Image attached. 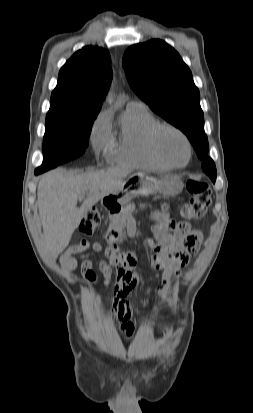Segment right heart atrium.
Segmentation results:
<instances>
[{
    "instance_id": "d8ad5b80",
    "label": "right heart atrium",
    "mask_w": 253,
    "mask_h": 413,
    "mask_svg": "<svg viewBox=\"0 0 253 413\" xmlns=\"http://www.w3.org/2000/svg\"><path fill=\"white\" fill-rule=\"evenodd\" d=\"M90 140L96 154L109 148L111 136L104 116L96 121Z\"/></svg>"
}]
</instances>
